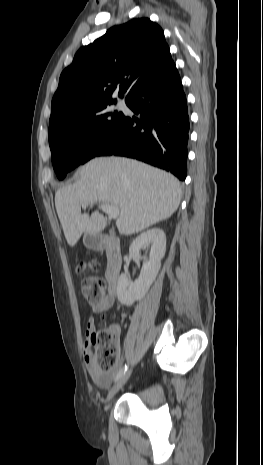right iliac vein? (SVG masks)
<instances>
[{"label": "right iliac vein", "mask_w": 263, "mask_h": 465, "mask_svg": "<svg viewBox=\"0 0 263 465\" xmlns=\"http://www.w3.org/2000/svg\"><path fill=\"white\" fill-rule=\"evenodd\" d=\"M132 370L127 371L117 382L116 384L112 387V389L109 391L107 398L105 400V403H108L115 395L116 393L125 385L129 377L131 376Z\"/></svg>", "instance_id": "63e3f726"}]
</instances>
